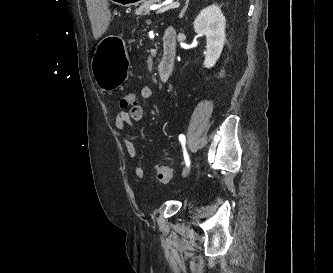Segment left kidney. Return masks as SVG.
Here are the masks:
<instances>
[{
  "mask_svg": "<svg viewBox=\"0 0 333 273\" xmlns=\"http://www.w3.org/2000/svg\"><path fill=\"white\" fill-rule=\"evenodd\" d=\"M226 19L217 5L204 8L194 21L197 34L206 36L207 47L204 67H213L219 59L226 39Z\"/></svg>",
  "mask_w": 333,
  "mask_h": 273,
  "instance_id": "left-kidney-1",
  "label": "left kidney"
}]
</instances>
